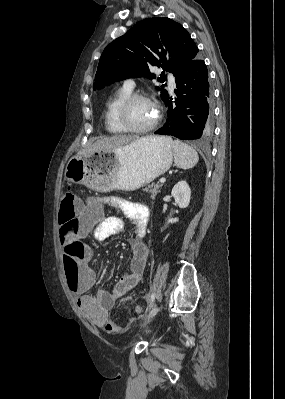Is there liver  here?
Wrapping results in <instances>:
<instances>
[{"label": "liver", "instance_id": "obj_1", "mask_svg": "<svg viewBox=\"0 0 285 399\" xmlns=\"http://www.w3.org/2000/svg\"><path fill=\"white\" fill-rule=\"evenodd\" d=\"M137 139L139 138L126 135H114L111 137L100 138L86 149L82 150L80 154L84 155L100 150L114 152L129 145Z\"/></svg>", "mask_w": 285, "mask_h": 399}]
</instances>
